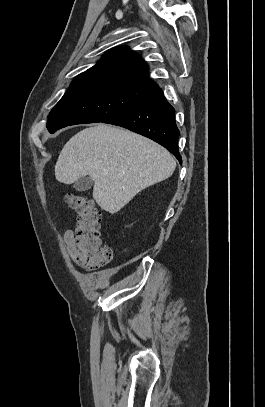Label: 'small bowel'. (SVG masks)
<instances>
[{
    "label": "small bowel",
    "mask_w": 265,
    "mask_h": 407,
    "mask_svg": "<svg viewBox=\"0 0 265 407\" xmlns=\"http://www.w3.org/2000/svg\"><path fill=\"white\" fill-rule=\"evenodd\" d=\"M75 234L73 230H66L63 234V240L66 245V249L68 255L72 259L73 263L78 267L81 268L82 266L79 265L76 261V251H75Z\"/></svg>",
    "instance_id": "small-bowel-1"
}]
</instances>
